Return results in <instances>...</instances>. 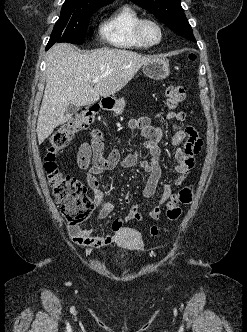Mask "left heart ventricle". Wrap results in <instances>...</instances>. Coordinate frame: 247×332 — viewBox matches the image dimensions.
<instances>
[{
  "mask_svg": "<svg viewBox=\"0 0 247 332\" xmlns=\"http://www.w3.org/2000/svg\"><path fill=\"white\" fill-rule=\"evenodd\" d=\"M143 34L147 41L155 42L159 38V32L155 25L148 23L143 28Z\"/></svg>",
  "mask_w": 247,
  "mask_h": 332,
  "instance_id": "obj_1",
  "label": "left heart ventricle"
}]
</instances>
